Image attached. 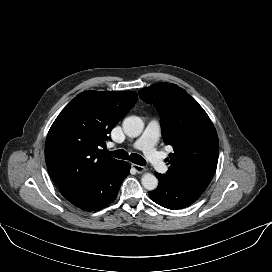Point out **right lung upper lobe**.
I'll list each match as a JSON object with an SVG mask.
<instances>
[{
    "label": "right lung upper lobe",
    "mask_w": 272,
    "mask_h": 272,
    "mask_svg": "<svg viewBox=\"0 0 272 272\" xmlns=\"http://www.w3.org/2000/svg\"><path fill=\"white\" fill-rule=\"evenodd\" d=\"M136 101L133 91H84L61 111L45 144L48 172L58 187L89 182L116 161L99 148Z\"/></svg>",
    "instance_id": "obj_1"
}]
</instances>
